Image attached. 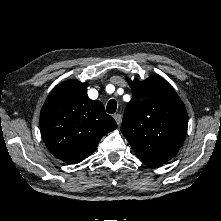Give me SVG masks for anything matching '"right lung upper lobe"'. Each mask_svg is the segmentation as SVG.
I'll return each instance as SVG.
<instances>
[{"label": "right lung upper lobe", "mask_w": 221, "mask_h": 221, "mask_svg": "<svg viewBox=\"0 0 221 221\" xmlns=\"http://www.w3.org/2000/svg\"><path fill=\"white\" fill-rule=\"evenodd\" d=\"M87 87V82L60 83L40 112L41 135L48 150L68 164L83 161L105 134L117 128L103 104L88 97Z\"/></svg>", "instance_id": "right-lung-upper-lobe-1"}]
</instances>
